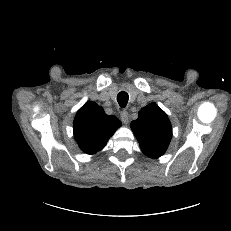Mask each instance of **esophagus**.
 Listing matches in <instances>:
<instances>
[{
	"mask_svg": "<svg viewBox=\"0 0 231 231\" xmlns=\"http://www.w3.org/2000/svg\"><path fill=\"white\" fill-rule=\"evenodd\" d=\"M120 118L124 124H127L129 121V116H128V113L126 111H123L120 113Z\"/></svg>",
	"mask_w": 231,
	"mask_h": 231,
	"instance_id": "obj_1",
	"label": "esophagus"
}]
</instances>
